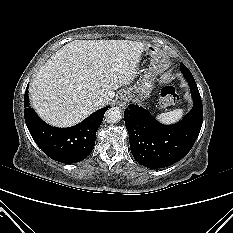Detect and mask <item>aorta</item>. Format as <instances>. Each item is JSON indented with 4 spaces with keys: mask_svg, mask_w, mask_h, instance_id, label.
Returning <instances> with one entry per match:
<instances>
[{
    "mask_svg": "<svg viewBox=\"0 0 233 233\" xmlns=\"http://www.w3.org/2000/svg\"><path fill=\"white\" fill-rule=\"evenodd\" d=\"M105 118L108 123H117L122 118V110L119 107H111L106 111Z\"/></svg>",
    "mask_w": 233,
    "mask_h": 233,
    "instance_id": "1",
    "label": "aorta"
}]
</instances>
